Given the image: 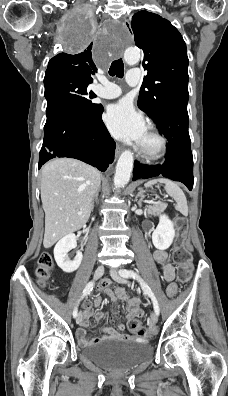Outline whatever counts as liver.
Returning <instances> with one entry per match:
<instances>
[{"mask_svg":"<svg viewBox=\"0 0 228 396\" xmlns=\"http://www.w3.org/2000/svg\"><path fill=\"white\" fill-rule=\"evenodd\" d=\"M41 173L43 245L50 248L87 223L101 178L96 168L72 158H56L45 164Z\"/></svg>","mask_w":228,"mask_h":396,"instance_id":"liver-1","label":"liver"}]
</instances>
